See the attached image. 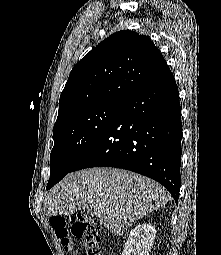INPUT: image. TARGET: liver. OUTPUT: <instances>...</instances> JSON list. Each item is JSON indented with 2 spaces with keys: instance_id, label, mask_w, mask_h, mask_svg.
<instances>
[{
  "instance_id": "1",
  "label": "liver",
  "mask_w": 221,
  "mask_h": 255,
  "mask_svg": "<svg viewBox=\"0 0 221 255\" xmlns=\"http://www.w3.org/2000/svg\"><path fill=\"white\" fill-rule=\"evenodd\" d=\"M169 201L160 184L137 173L115 168H89L68 174L44 201L47 216H70L90 210L117 236L142 216Z\"/></svg>"
}]
</instances>
